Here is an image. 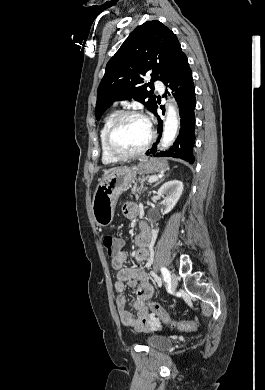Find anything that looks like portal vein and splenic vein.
<instances>
[{"label": "portal vein and splenic vein", "mask_w": 265, "mask_h": 390, "mask_svg": "<svg viewBox=\"0 0 265 390\" xmlns=\"http://www.w3.org/2000/svg\"><path fill=\"white\" fill-rule=\"evenodd\" d=\"M158 180V177L157 176H151L148 180V182L152 183V182H155Z\"/></svg>", "instance_id": "1"}]
</instances>
